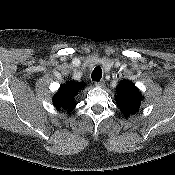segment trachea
<instances>
[{"instance_id":"3493384b","label":"trachea","mask_w":175,"mask_h":175,"mask_svg":"<svg viewBox=\"0 0 175 175\" xmlns=\"http://www.w3.org/2000/svg\"><path fill=\"white\" fill-rule=\"evenodd\" d=\"M102 77V69L100 66H96L91 74V78L93 81H100Z\"/></svg>"}]
</instances>
